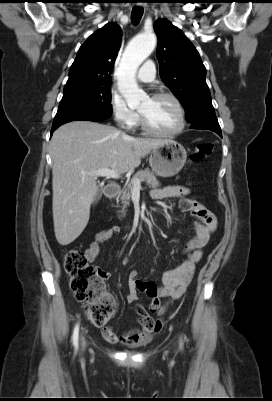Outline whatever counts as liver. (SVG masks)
<instances>
[{"label":"liver","mask_w":272,"mask_h":401,"mask_svg":"<svg viewBox=\"0 0 272 401\" xmlns=\"http://www.w3.org/2000/svg\"><path fill=\"white\" fill-rule=\"evenodd\" d=\"M166 140L135 138L90 121L59 127L51 140L54 232L59 244L72 243L86 227L97 192L96 177L82 175L109 168L119 174L134 170Z\"/></svg>","instance_id":"6515ba94"}]
</instances>
